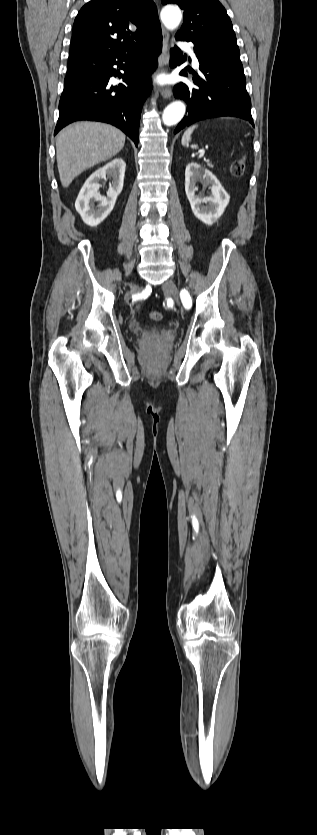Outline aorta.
I'll return each mask as SVG.
<instances>
[{
  "mask_svg": "<svg viewBox=\"0 0 317 835\" xmlns=\"http://www.w3.org/2000/svg\"><path fill=\"white\" fill-rule=\"evenodd\" d=\"M160 17L164 26L169 30L176 29L182 19L181 10L176 6H166L162 9ZM185 104L176 101L168 105L162 115V122L165 126H172L181 121L185 114Z\"/></svg>",
  "mask_w": 317,
  "mask_h": 835,
  "instance_id": "762f6f07",
  "label": "aorta"
}]
</instances>
